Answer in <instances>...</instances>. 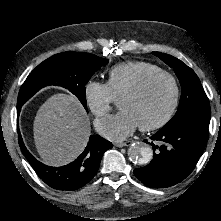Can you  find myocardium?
<instances>
[{
  "mask_svg": "<svg viewBox=\"0 0 221 221\" xmlns=\"http://www.w3.org/2000/svg\"><path fill=\"white\" fill-rule=\"evenodd\" d=\"M158 78H165L171 83V86L173 89L171 104L167 112L156 122L147 124V125H139V128L141 131L157 130L163 127L164 125H166L171 120L172 116L174 115L177 109L179 98H180V88H179L176 78L172 74L166 71L161 70V71L153 72L143 77L135 85L128 88L120 95V98L126 95H130V96L138 95L142 93L149 86L150 83H152L154 80Z\"/></svg>",
  "mask_w": 221,
  "mask_h": 221,
  "instance_id": "myocardium-1",
  "label": "myocardium"
}]
</instances>
